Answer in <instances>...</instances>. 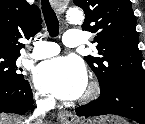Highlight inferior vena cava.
I'll use <instances>...</instances> for the list:
<instances>
[{
  "label": "inferior vena cava",
  "instance_id": "1",
  "mask_svg": "<svg viewBox=\"0 0 145 124\" xmlns=\"http://www.w3.org/2000/svg\"><path fill=\"white\" fill-rule=\"evenodd\" d=\"M54 104V100H39L36 102L37 109L25 124H43L42 119L45 117V112L50 105Z\"/></svg>",
  "mask_w": 145,
  "mask_h": 124
}]
</instances>
